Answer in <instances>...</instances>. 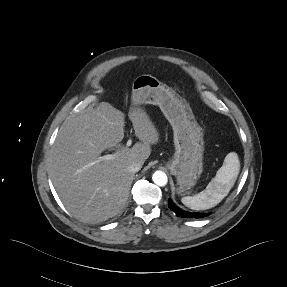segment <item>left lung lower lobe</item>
<instances>
[{
    "label": "left lung lower lobe",
    "mask_w": 287,
    "mask_h": 287,
    "mask_svg": "<svg viewBox=\"0 0 287 287\" xmlns=\"http://www.w3.org/2000/svg\"><path fill=\"white\" fill-rule=\"evenodd\" d=\"M168 206L173 212H175V214L178 217H182V218H196L197 219V218H203L209 215L205 213H190V212L181 210L178 206L174 204V202L171 199L168 200Z\"/></svg>",
    "instance_id": "obj_1"
}]
</instances>
